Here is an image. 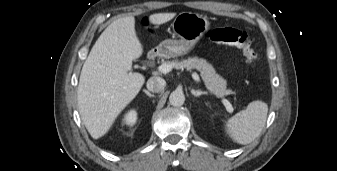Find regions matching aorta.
I'll return each mask as SVG.
<instances>
[{"label": "aorta", "instance_id": "aorta-1", "mask_svg": "<svg viewBox=\"0 0 337 171\" xmlns=\"http://www.w3.org/2000/svg\"><path fill=\"white\" fill-rule=\"evenodd\" d=\"M169 102L172 106H182L185 102V96L182 91L175 90L169 96Z\"/></svg>", "mask_w": 337, "mask_h": 171}]
</instances>
